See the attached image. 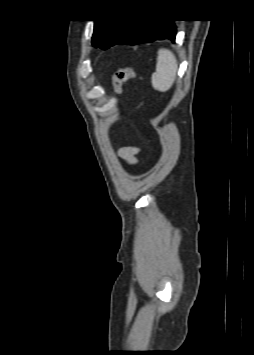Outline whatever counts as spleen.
I'll use <instances>...</instances> for the list:
<instances>
[{"label": "spleen", "instance_id": "1", "mask_svg": "<svg viewBox=\"0 0 254 355\" xmlns=\"http://www.w3.org/2000/svg\"><path fill=\"white\" fill-rule=\"evenodd\" d=\"M177 59L168 49L158 51L156 71L152 74V86L160 92L168 91L175 79L177 73Z\"/></svg>", "mask_w": 254, "mask_h": 355}]
</instances>
